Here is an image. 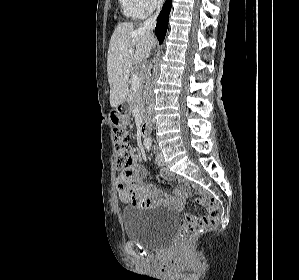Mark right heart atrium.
Instances as JSON below:
<instances>
[{
  "label": "right heart atrium",
  "instance_id": "d8ad5b80",
  "mask_svg": "<svg viewBox=\"0 0 299 280\" xmlns=\"http://www.w3.org/2000/svg\"><path fill=\"white\" fill-rule=\"evenodd\" d=\"M140 9L144 12V14H149L155 9H157L162 0H136Z\"/></svg>",
  "mask_w": 299,
  "mask_h": 280
}]
</instances>
